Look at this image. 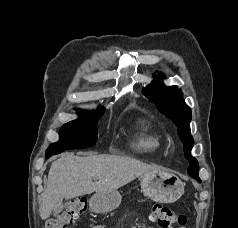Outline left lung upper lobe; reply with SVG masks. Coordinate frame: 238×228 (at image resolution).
Returning a JSON list of instances; mask_svg holds the SVG:
<instances>
[{"instance_id":"5c2ea615","label":"left lung upper lobe","mask_w":238,"mask_h":228,"mask_svg":"<svg viewBox=\"0 0 238 228\" xmlns=\"http://www.w3.org/2000/svg\"><path fill=\"white\" fill-rule=\"evenodd\" d=\"M143 94L156 105L162 114L176 124L178 135L184 144V155L190 163L188 174L193 178H199L198 161L190 154L194 144L189 126L192 118L191 109L184 102L181 90L177 86L167 87L162 81H153L143 90Z\"/></svg>"}]
</instances>
